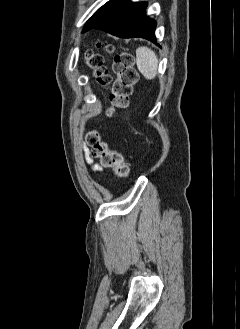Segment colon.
I'll return each instance as SVG.
<instances>
[{
    "mask_svg": "<svg viewBox=\"0 0 240 329\" xmlns=\"http://www.w3.org/2000/svg\"><path fill=\"white\" fill-rule=\"evenodd\" d=\"M106 49L113 51L111 46H107ZM85 58L88 65L94 69L96 81L102 86L108 85L111 78L103 65V57L87 50ZM133 63V57L128 52H118L114 56L113 71L116 74V79L112 83L110 93V102L114 109L125 108L129 103L133 86L137 81V72ZM85 142L90 148V155L99 159L104 167L113 169L121 178L129 175L130 167L122 153L109 148L97 130H90L85 137Z\"/></svg>",
    "mask_w": 240,
    "mask_h": 329,
    "instance_id": "1",
    "label": "colon"
}]
</instances>
